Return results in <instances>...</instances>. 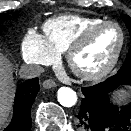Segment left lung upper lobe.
I'll list each match as a JSON object with an SVG mask.
<instances>
[{
  "label": "left lung upper lobe",
  "instance_id": "1",
  "mask_svg": "<svg viewBox=\"0 0 131 131\" xmlns=\"http://www.w3.org/2000/svg\"><path fill=\"white\" fill-rule=\"evenodd\" d=\"M121 18L125 22L128 30H129L130 36H131V18L127 15H121ZM125 70H131V47L129 49V53L127 55V58H126L124 64L122 65L121 69L118 72H122Z\"/></svg>",
  "mask_w": 131,
  "mask_h": 131
}]
</instances>
